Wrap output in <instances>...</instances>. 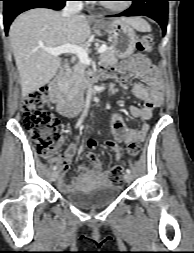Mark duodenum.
I'll return each mask as SVG.
<instances>
[{
    "instance_id": "obj_1",
    "label": "duodenum",
    "mask_w": 194,
    "mask_h": 253,
    "mask_svg": "<svg viewBox=\"0 0 194 253\" xmlns=\"http://www.w3.org/2000/svg\"><path fill=\"white\" fill-rule=\"evenodd\" d=\"M66 73H59L49 84L50 95L56 104L57 111L66 117H71L76 115L81 107L82 102L76 99L69 98L63 93V82ZM98 79L94 77L88 81L87 87H91L93 83ZM81 89L80 100H85L87 91L85 85H77L74 92ZM76 97H79V94H76Z\"/></svg>"
}]
</instances>
